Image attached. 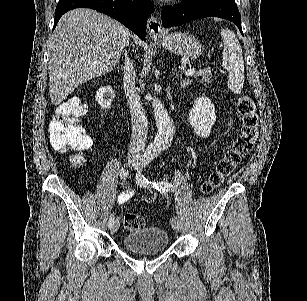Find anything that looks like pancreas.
<instances>
[{
  "label": "pancreas",
  "instance_id": "cf45deb5",
  "mask_svg": "<svg viewBox=\"0 0 307 301\" xmlns=\"http://www.w3.org/2000/svg\"><path fill=\"white\" fill-rule=\"evenodd\" d=\"M212 70H208V68H202V70H196L194 74H191V76H195V78H200V82H203V84H207V82H213L212 78Z\"/></svg>",
  "mask_w": 307,
  "mask_h": 301
}]
</instances>
